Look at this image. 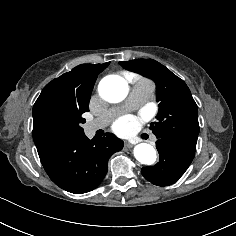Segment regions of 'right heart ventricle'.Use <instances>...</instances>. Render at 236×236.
Returning a JSON list of instances; mask_svg holds the SVG:
<instances>
[{
  "label": "right heart ventricle",
  "mask_w": 236,
  "mask_h": 236,
  "mask_svg": "<svg viewBox=\"0 0 236 236\" xmlns=\"http://www.w3.org/2000/svg\"><path fill=\"white\" fill-rule=\"evenodd\" d=\"M136 84L152 86L151 82L147 79H144V78H138L136 81Z\"/></svg>",
  "instance_id": "1"
}]
</instances>
